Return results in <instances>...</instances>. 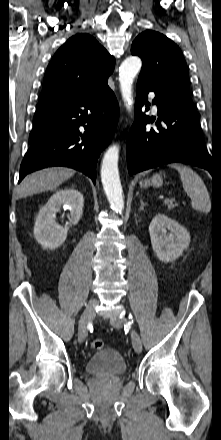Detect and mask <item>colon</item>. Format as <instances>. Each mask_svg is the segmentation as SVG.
<instances>
[{"mask_svg":"<svg viewBox=\"0 0 221 440\" xmlns=\"http://www.w3.org/2000/svg\"><path fill=\"white\" fill-rule=\"evenodd\" d=\"M91 347L93 350H96V351L102 350L104 347V342L100 339H95L92 341Z\"/></svg>","mask_w":221,"mask_h":440,"instance_id":"colon-1","label":"colon"}]
</instances>
